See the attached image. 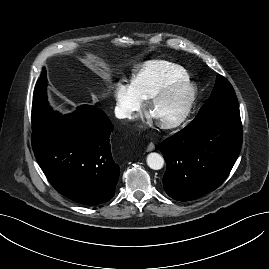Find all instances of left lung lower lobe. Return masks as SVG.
<instances>
[{"mask_svg":"<svg viewBox=\"0 0 269 269\" xmlns=\"http://www.w3.org/2000/svg\"><path fill=\"white\" fill-rule=\"evenodd\" d=\"M241 145L238 107L199 112L160 145L167 164L163 177L166 193L175 200L190 201L215 190L229 175Z\"/></svg>","mask_w":269,"mask_h":269,"instance_id":"1","label":"left lung lower lobe"}]
</instances>
